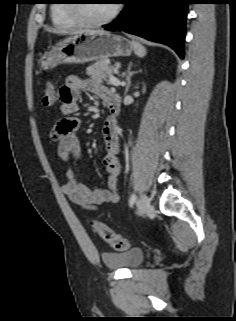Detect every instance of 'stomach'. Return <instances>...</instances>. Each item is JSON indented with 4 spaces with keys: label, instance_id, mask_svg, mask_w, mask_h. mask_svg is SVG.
I'll use <instances>...</instances> for the list:
<instances>
[{
    "label": "stomach",
    "instance_id": "stomach-1",
    "mask_svg": "<svg viewBox=\"0 0 236 321\" xmlns=\"http://www.w3.org/2000/svg\"><path fill=\"white\" fill-rule=\"evenodd\" d=\"M133 45L122 36L111 33H75L57 43L40 59L42 69L48 71L63 63H87L110 57L129 56Z\"/></svg>",
    "mask_w": 236,
    "mask_h": 321
}]
</instances>
